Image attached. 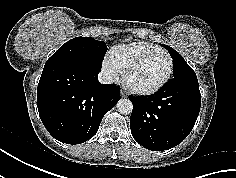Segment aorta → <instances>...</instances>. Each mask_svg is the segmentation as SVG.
Returning a JSON list of instances; mask_svg holds the SVG:
<instances>
[{
    "label": "aorta",
    "instance_id": "obj_1",
    "mask_svg": "<svg viewBox=\"0 0 236 178\" xmlns=\"http://www.w3.org/2000/svg\"><path fill=\"white\" fill-rule=\"evenodd\" d=\"M116 106L121 114H130L133 110V104L129 99H120Z\"/></svg>",
    "mask_w": 236,
    "mask_h": 178
}]
</instances>
